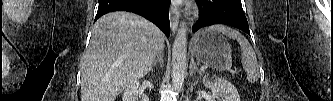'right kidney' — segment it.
Masks as SVG:
<instances>
[{
	"instance_id": "ca27d5eb",
	"label": "right kidney",
	"mask_w": 333,
	"mask_h": 101,
	"mask_svg": "<svg viewBox=\"0 0 333 101\" xmlns=\"http://www.w3.org/2000/svg\"><path fill=\"white\" fill-rule=\"evenodd\" d=\"M139 82L132 81L130 84L125 88V91L122 96L123 101H149V98L143 91L138 89Z\"/></svg>"
}]
</instances>
